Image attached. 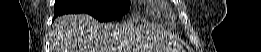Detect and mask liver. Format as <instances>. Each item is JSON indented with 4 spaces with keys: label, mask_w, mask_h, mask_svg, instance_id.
<instances>
[{
    "label": "liver",
    "mask_w": 261,
    "mask_h": 52,
    "mask_svg": "<svg viewBox=\"0 0 261 52\" xmlns=\"http://www.w3.org/2000/svg\"><path fill=\"white\" fill-rule=\"evenodd\" d=\"M55 40L60 52H117L124 31L103 25L87 14H69L56 19Z\"/></svg>",
    "instance_id": "6515ba94"
}]
</instances>
